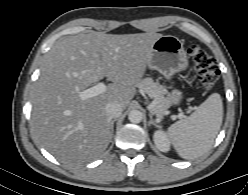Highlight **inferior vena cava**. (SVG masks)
Wrapping results in <instances>:
<instances>
[{
    "mask_svg": "<svg viewBox=\"0 0 248 195\" xmlns=\"http://www.w3.org/2000/svg\"><path fill=\"white\" fill-rule=\"evenodd\" d=\"M122 111L123 107L118 102H110L105 107V112L110 119L119 117Z\"/></svg>",
    "mask_w": 248,
    "mask_h": 195,
    "instance_id": "inferior-vena-cava-1",
    "label": "inferior vena cava"
}]
</instances>
